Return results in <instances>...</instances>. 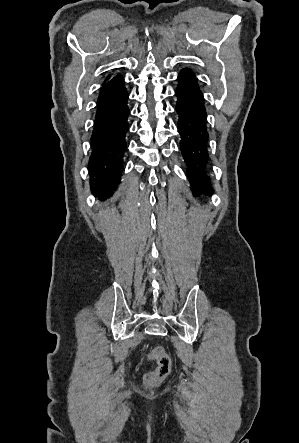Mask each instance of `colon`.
Listing matches in <instances>:
<instances>
[{
  "label": "colon",
  "instance_id": "5ec220e1",
  "mask_svg": "<svg viewBox=\"0 0 299 443\" xmlns=\"http://www.w3.org/2000/svg\"><path fill=\"white\" fill-rule=\"evenodd\" d=\"M150 360L157 363L155 370L144 376V384L152 387L162 382L171 371V358L163 347H155L148 354Z\"/></svg>",
  "mask_w": 299,
  "mask_h": 443
}]
</instances>
